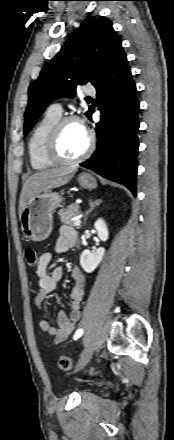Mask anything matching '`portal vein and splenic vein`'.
Returning <instances> with one entry per match:
<instances>
[{
    "instance_id": "18ae733b",
    "label": "portal vein and splenic vein",
    "mask_w": 174,
    "mask_h": 440,
    "mask_svg": "<svg viewBox=\"0 0 174 440\" xmlns=\"http://www.w3.org/2000/svg\"><path fill=\"white\" fill-rule=\"evenodd\" d=\"M73 225H74V226H80V225H81V220H80V219H75Z\"/></svg>"
}]
</instances>
